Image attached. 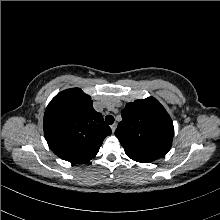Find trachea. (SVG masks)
I'll return each mask as SVG.
<instances>
[{
  "instance_id": "trachea-1",
  "label": "trachea",
  "mask_w": 220,
  "mask_h": 220,
  "mask_svg": "<svg viewBox=\"0 0 220 220\" xmlns=\"http://www.w3.org/2000/svg\"><path fill=\"white\" fill-rule=\"evenodd\" d=\"M105 122L109 125L113 124L114 123V117L112 115H107L105 117Z\"/></svg>"
}]
</instances>
